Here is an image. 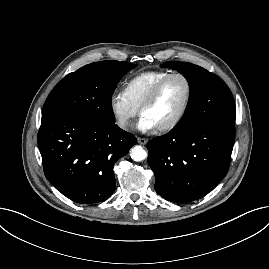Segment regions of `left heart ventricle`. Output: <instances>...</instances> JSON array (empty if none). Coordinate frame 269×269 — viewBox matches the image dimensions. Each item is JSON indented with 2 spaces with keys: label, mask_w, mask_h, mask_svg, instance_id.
Masks as SVG:
<instances>
[{
  "label": "left heart ventricle",
  "mask_w": 269,
  "mask_h": 269,
  "mask_svg": "<svg viewBox=\"0 0 269 269\" xmlns=\"http://www.w3.org/2000/svg\"><path fill=\"white\" fill-rule=\"evenodd\" d=\"M187 97V86L180 77L171 78L161 89L155 102L144 110L143 116L160 127L171 122L181 111Z\"/></svg>",
  "instance_id": "b2bd125f"
}]
</instances>
